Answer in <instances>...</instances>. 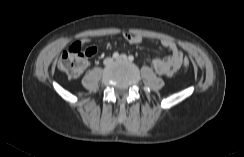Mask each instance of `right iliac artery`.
Segmentation results:
<instances>
[{
  "label": "right iliac artery",
  "mask_w": 244,
  "mask_h": 157,
  "mask_svg": "<svg viewBox=\"0 0 244 157\" xmlns=\"http://www.w3.org/2000/svg\"><path fill=\"white\" fill-rule=\"evenodd\" d=\"M118 56H119V53L118 52H114L113 53V58H118Z\"/></svg>",
  "instance_id": "right-iliac-artery-1"
}]
</instances>
